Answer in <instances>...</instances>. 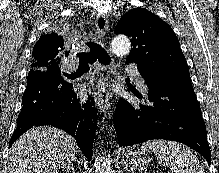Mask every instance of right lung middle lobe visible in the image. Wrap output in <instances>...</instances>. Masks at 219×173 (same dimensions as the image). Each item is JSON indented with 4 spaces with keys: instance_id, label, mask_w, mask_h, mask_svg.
<instances>
[{
    "instance_id": "right-lung-middle-lobe-1",
    "label": "right lung middle lobe",
    "mask_w": 219,
    "mask_h": 173,
    "mask_svg": "<svg viewBox=\"0 0 219 173\" xmlns=\"http://www.w3.org/2000/svg\"><path fill=\"white\" fill-rule=\"evenodd\" d=\"M59 65H60V64H49V65H46V66L40 68L39 70H44V69L53 70V71H56L57 73H60V74H61ZM32 71H36V69H32V68H31L30 72H32Z\"/></svg>"
}]
</instances>
